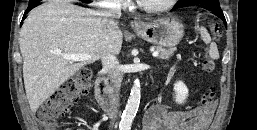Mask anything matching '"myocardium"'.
<instances>
[{
    "label": "myocardium",
    "mask_w": 257,
    "mask_h": 130,
    "mask_svg": "<svg viewBox=\"0 0 257 130\" xmlns=\"http://www.w3.org/2000/svg\"><path fill=\"white\" fill-rule=\"evenodd\" d=\"M177 1L178 0H167L166 2H164L161 5L148 6V5H145V4L141 3L140 0H137V4H138L139 8L142 9L143 11H145V12H148V13H161V12L169 10L171 7H173L175 5V3Z\"/></svg>",
    "instance_id": "obj_1"
}]
</instances>
